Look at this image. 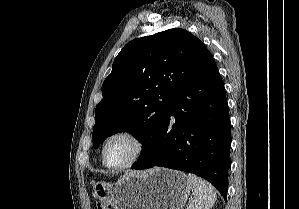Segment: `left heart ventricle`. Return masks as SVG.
<instances>
[{
  "instance_id": "left-heart-ventricle-1",
  "label": "left heart ventricle",
  "mask_w": 299,
  "mask_h": 209,
  "mask_svg": "<svg viewBox=\"0 0 299 209\" xmlns=\"http://www.w3.org/2000/svg\"><path fill=\"white\" fill-rule=\"evenodd\" d=\"M134 150V143L128 138H115L107 147L106 162L110 166H120L132 157Z\"/></svg>"
}]
</instances>
